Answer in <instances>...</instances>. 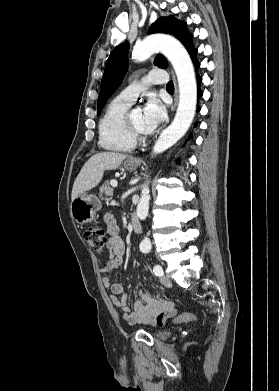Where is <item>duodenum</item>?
<instances>
[{
	"instance_id": "obj_1",
	"label": "duodenum",
	"mask_w": 279,
	"mask_h": 391,
	"mask_svg": "<svg viewBox=\"0 0 279 391\" xmlns=\"http://www.w3.org/2000/svg\"><path fill=\"white\" fill-rule=\"evenodd\" d=\"M131 227L134 234H140L142 231V226L135 216L131 217Z\"/></svg>"
}]
</instances>
